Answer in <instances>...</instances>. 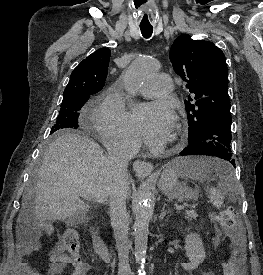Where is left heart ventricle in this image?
Wrapping results in <instances>:
<instances>
[{"label":"left heart ventricle","instance_id":"1","mask_svg":"<svg viewBox=\"0 0 263 275\" xmlns=\"http://www.w3.org/2000/svg\"><path fill=\"white\" fill-rule=\"evenodd\" d=\"M174 136V131H172V133L170 134L169 138L168 139H172Z\"/></svg>","mask_w":263,"mask_h":275}]
</instances>
